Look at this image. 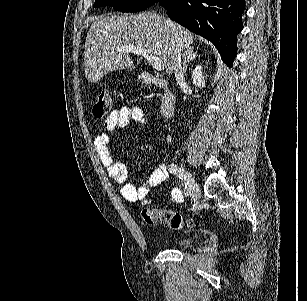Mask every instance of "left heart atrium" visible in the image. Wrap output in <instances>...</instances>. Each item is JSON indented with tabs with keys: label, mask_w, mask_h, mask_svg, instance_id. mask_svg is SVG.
Instances as JSON below:
<instances>
[{
	"label": "left heart atrium",
	"mask_w": 307,
	"mask_h": 301,
	"mask_svg": "<svg viewBox=\"0 0 307 301\" xmlns=\"http://www.w3.org/2000/svg\"><path fill=\"white\" fill-rule=\"evenodd\" d=\"M164 62H175V61H164Z\"/></svg>",
	"instance_id": "obj_1"
}]
</instances>
